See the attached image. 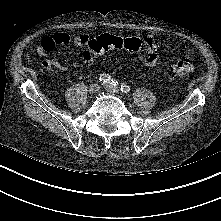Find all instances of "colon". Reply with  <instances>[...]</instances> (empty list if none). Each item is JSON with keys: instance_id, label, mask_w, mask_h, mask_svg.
<instances>
[{"instance_id": "colon-1", "label": "colon", "mask_w": 221, "mask_h": 221, "mask_svg": "<svg viewBox=\"0 0 221 221\" xmlns=\"http://www.w3.org/2000/svg\"><path fill=\"white\" fill-rule=\"evenodd\" d=\"M127 50L139 52L144 49V41L138 37H117L109 34H102L90 40L88 50L84 56L96 57L110 50ZM194 69L193 62L189 57H181L170 65L166 74L171 78H180L189 75Z\"/></svg>"}]
</instances>
